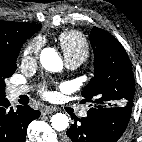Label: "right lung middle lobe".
Here are the masks:
<instances>
[{"instance_id":"dd1d6c3e","label":"right lung middle lobe","mask_w":142,"mask_h":142,"mask_svg":"<svg viewBox=\"0 0 142 142\" xmlns=\"http://www.w3.org/2000/svg\"><path fill=\"white\" fill-rule=\"evenodd\" d=\"M23 43L24 41L0 52V100L6 98L5 80L16 71V60Z\"/></svg>"}]
</instances>
